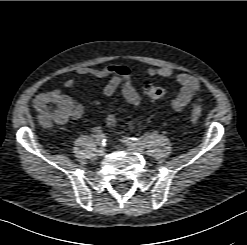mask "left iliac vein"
I'll use <instances>...</instances> for the list:
<instances>
[{
    "label": "left iliac vein",
    "instance_id": "obj_1",
    "mask_svg": "<svg viewBox=\"0 0 247 245\" xmlns=\"http://www.w3.org/2000/svg\"><path fill=\"white\" fill-rule=\"evenodd\" d=\"M127 146L131 152H135V153H139V154L145 153L144 146H142V145H136V144L128 143Z\"/></svg>",
    "mask_w": 247,
    "mask_h": 245
}]
</instances>
